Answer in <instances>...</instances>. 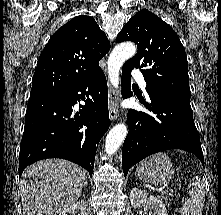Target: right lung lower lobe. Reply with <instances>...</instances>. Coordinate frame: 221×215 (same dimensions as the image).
Listing matches in <instances>:
<instances>
[{
	"label": "right lung lower lobe",
	"instance_id": "right-lung-lower-lobe-1",
	"mask_svg": "<svg viewBox=\"0 0 221 215\" xmlns=\"http://www.w3.org/2000/svg\"><path fill=\"white\" fill-rule=\"evenodd\" d=\"M80 100L85 106L76 112ZM109 124L107 82L101 68L64 90L29 99L19 177L28 165L46 158L72 161L92 175L98 143Z\"/></svg>",
	"mask_w": 221,
	"mask_h": 215
}]
</instances>
